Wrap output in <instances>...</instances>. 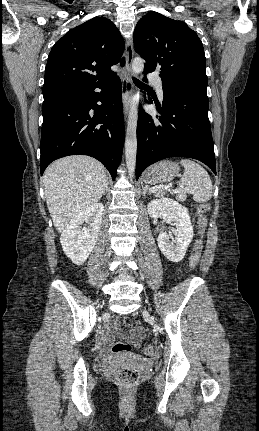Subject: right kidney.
<instances>
[{"instance_id": "ca27d5eb", "label": "right kidney", "mask_w": 259, "mask_h": 431, "mask_svg": "<svg viewBox=\"0 0 259 431\" xmlns=\"http://www.w3.org/2000/svg\"><path fill=\"white\" fill-rule=\"evenodd\" d=\"M104 213L102 203H96L74 216L64 228L60 242L64 253L73 263L83 264L92 252L97 241ZM86 222L88 228L82 229Z\"/></svg>"}]
</instances>
